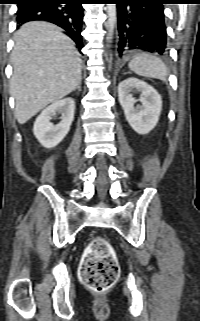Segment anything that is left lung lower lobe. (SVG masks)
<instances>
[{
	"instance_id": "1",
	"label": "left lung lower lobe",
	"mask_w": 200,
	"mask_h": 321,
	"mask_svg": "<svg viewBox=\"0 0 200 321\" xmlns=\"http://www.w3.org/2000/svg\"><path fill=\"white\" fill-rule=\"evenodd\" d=\"M117 4L118 52L143 50L163 54L167 34L163 4L167 0H113Z\"/></svg>"
}]
</instances>
